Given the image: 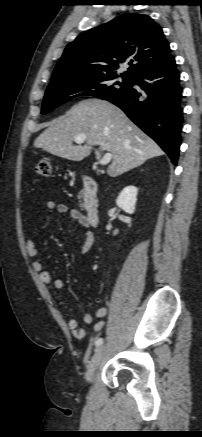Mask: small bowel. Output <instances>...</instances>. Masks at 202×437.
I'll return each mask as SVG.
<instances>
[{
  "mask_svg": "<svg viewBox=\"0 0 202 437\" xmlns=\"http://www.w3.org/2000/svg\"><path fill=\"white\" fill-rule=\"evenodd\" d=\"M46 207L48 210L55 211L57 214L60 215L67 214L73 221H76L86 229V233H85L86 239L82 247V253L84 254L87 253L91 249L94 241L93 233L90 230V225L87 221V217L77 209L69 208L65 204H57L54 201H48L46 203ZM26 250L30 257L36 258L40 255V251L37 248L33 239H29L26 242ZM32 268L34 272L37 274L38 279L43 284L47 285L51 290L58 291L63 288L64 285L63 281L58 278L52 279L50 273L44 270V266L41 261L34 260L32 262ZM107 313H108L107 308L105 307L98 308L94 314L86 313L83 316V322L85 324H91L94 320V317L103 319L107 316ZM67 325L71 330L72 334L74 335V337L83 340L89 336V334L79 326V321L76 318L73 317L69 318ZM105 326L106 324L104 321H100L96 323L93 329V334L100 333L105 328Z\"/></svg>",
  "mask_w": 202,
  "mask_h": 437,
  "instance_id": "small-bowel-1",
  "label": "small bowel"
}]
</instances>
